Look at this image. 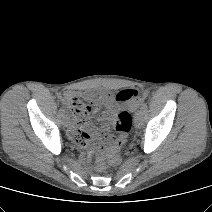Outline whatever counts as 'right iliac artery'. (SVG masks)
<instances>
[{
	"label": "right iliac artery",
	"mask_w": 212,
	"mask_h": 212,
	"mask_svg": "<svg viewBox=\"0 0 212 212\" xmlns=\"http://www.w3.org/2000/svg\"><path fill=\"white\" fill-rule=\"evenodd\" d=\"M61 111V115L64 116L65 112L63 109L60 110Z\"/></svg>",
	"instance_id": "82829eb1"
}]
</instances>
